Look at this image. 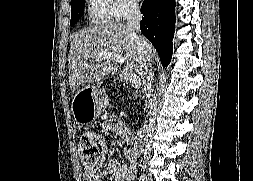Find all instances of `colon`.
<instances>
[{"instance_id": "1", "label": "colon", "mask_w": 253, "mask_h": 181, "mask_svg": "<svg viewBox=\"0 0 253 181\" xmlns=\"http://www.w3.org/2000/svg\"><path fill=\"white\" fill-rule=\"evenodd\" d=\"M79 154L83 168L88 172L96 171L105 160V143L94 132L84 133L79 141Z\"/></svg>"}]
</instances>
